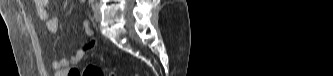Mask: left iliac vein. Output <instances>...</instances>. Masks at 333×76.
<instances>
[{
    "instance_id": "obj_1",
    "label": "left iliac vein",
    "mask_w": 333,
    "mask_h": 76,
    "mask_svg": "<svg viewBox=\"0 0 333 76\" xmlns=\"http://www.w3.org/2000/svg\"><path fill=\"white\" fill-rule=\"evenodd\" d=\"M94 19L96 21H100L101 20V13H100V10H99L98 6H96L95 10H94Z\"/></svg>"
}]
</instances>
